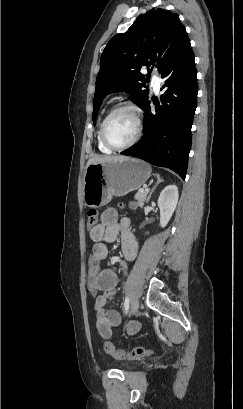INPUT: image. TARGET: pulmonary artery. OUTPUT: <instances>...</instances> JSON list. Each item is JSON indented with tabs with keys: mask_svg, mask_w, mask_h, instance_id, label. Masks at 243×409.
I'll return each instance as SVG.
<instances>
[{
	"mask_svg": "<svg viewBox=\"0 0 243 409\" xmlns=\"http://www.w3.org/2000/svg\"><path fill=\"white\" fill-rule=\"evenodd\" d=\"M151 84L155 92H159L160 84H161V77L158 74H153L151 77Z\"/></svg>",
	"mask_w": 243,
	"mask_h": 409,
	"instance_id": "pulmonary-artery-1",
	"label": "pulmonary artery"
}]
</instances>
